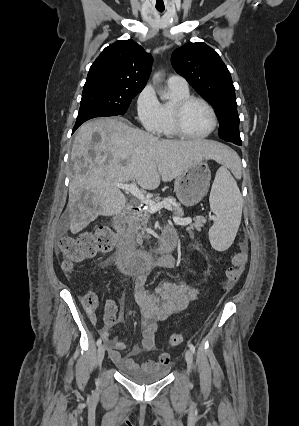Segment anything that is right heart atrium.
Masks as SVG:
<instances>
[{
  "label": "right heart atrium",
  "mask_w": 299,
  "mask_h": 426,
  "mask_svg": "<svg viewBox=\"0 0 299 426\" xmlns=\"http://www.w3.org/2000/svg\"><path fill=\"white\" fill-rule=\"evenodd\" d=\"M137 117L150 133L158 134L162 126V108L156 93L151 85H146L139 92L136 99Z\"/></svg>",
  "instance_id": "right-heart-atrium-1"
}]
</instances>
